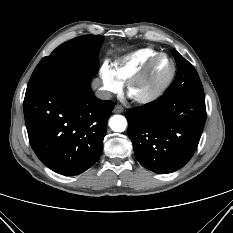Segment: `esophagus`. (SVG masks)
I'll return each mask as SVG.
<instances>
[{
  "label": "esophagus",
  "mask_w": 233,
  "mask_h": 233,
  "mask_svg": "<svg viewBox=\"0 0 233 233\" xmlns=\"http://www.w3.org/2000/svg\"><path fill=\"white\" fill-rule=\"evenodd\" d=\"M113 111L114 113H122L124 111V108L121 105H115Z\"/></svg>",
  "instance_id": "1"
}]
</instances>
